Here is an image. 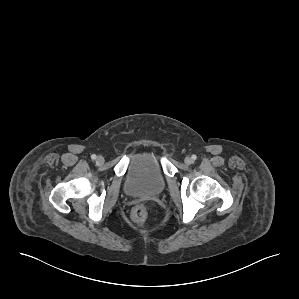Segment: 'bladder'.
<instances>
[{
  "label": "bladder",
  "mask_w": 299,
  "mask_h": 299,
  "mask_svg": "<svg viewBox=\"0 0 299 299\" xmlns=\"http://www.w3.org/2000/svg\"><path fill=\"white\" fill-rule=\"evenodd\" d=\"M165 187L166 176L158 154L154 151L136 154L124 176V192L133 197L156 196L162 193Z\"/></svg>",
  "instance_id": "bladder-1"
}]
</instances>
